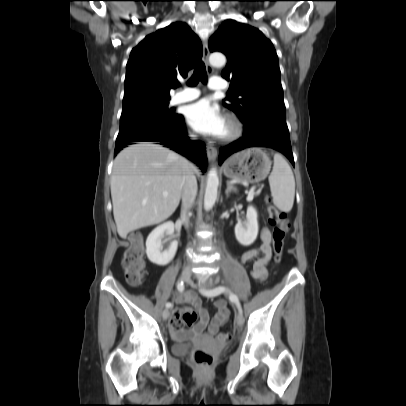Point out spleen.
<instances>
[{
	"label": "spleen",
	"mask_w": 406,
	"mask_h": 406,
	"mask_svg": "<svg viewBox=\"0 0 406 406\" xmlns=\"http://www.w3.org/2000/svg\"><path fill=\"white\" fill-rule=\"evenodd\" d=\"M269 184L274 205L283 212L291 211L295 198V179L289 164L280 154H274Z\"/></svg>",
	"instance_id": "3e777b00"
}]
</instances>
